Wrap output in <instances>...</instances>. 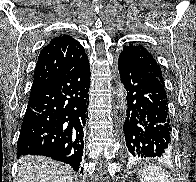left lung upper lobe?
I'll return each mask as SVG.
<instances>
[{
	"label": "left lung upper lobe",
	"mask_w": 196,
	"mask_h": 182,
	"mask_svg": "<svg viewBox=\"0 0 196 182\" xmlns=\"http://www.w3.org/2000/svg\"><path fill=\"white\" fill-rule=\"evenodd\" d=\"M120 56L128 57L136 65L153 73L164 85L161 68L157 65L153 56L142 45L134 46L130 43L129 46L123 48Z\"/></svg>",
	"instance_id": "left-lung-upper-lobe-1"
}]
</instances>
